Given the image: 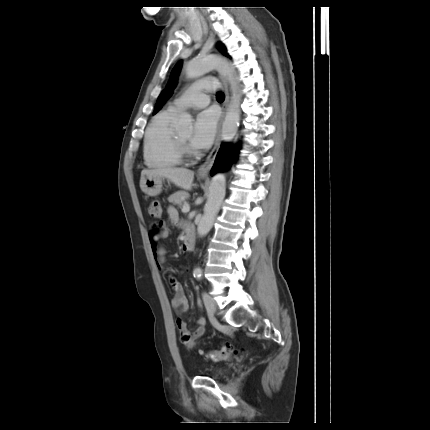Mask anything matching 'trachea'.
<instances>
[{"instance_id": "3493384b", "label": "trachea", "mask_w": 430, "mask_h": 430, "mask_svg": "<svg viewBox=\"0 0 430 430\" xmlns=\"http://www.w3.org/2000/svg\"><path fill=\"white\" fill-rule=\"evenodd\" d=\"M216 98H217L218 100H224V99H225V95H224L222 92H218V93L216 94Z\"/></svg>"}]
</instances>
